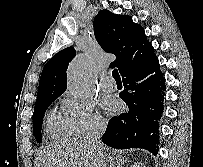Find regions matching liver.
<instances>
[{
	"label": "liver",
	"instance_id": "6515ba94",
	"mask_svg": "<svg viewBox=\"0 0 203 167\" xmlns=\"http://www.w3.org/2000/svg\"><path fill=\"white\" fill-rule=\"evenodd\" d=\"M102 148L103 157H100L98 151L84 138L65 140L41 151L36 158L35 167H116L123 162L121 157H112L105 146L102 145Z\"/></svg>",
	"mask_w": 203,
	"mask_h": 167
}]
</instances>
